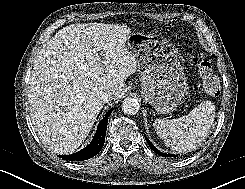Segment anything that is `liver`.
I'll return each mask as SVG.
<instances>
[{
    "mask_svg": "<svg viewBox=\"0 0 245 189\" xmlns=\"http://www.w3.org/2000/svg\"><path fill=\"white\" fill-rule=\"evenodd\" d=\"M130 34L125 24H71L38 53L28 100L34 128L54 153L71 154L83 143L106 103L104 91L112 90L113 100L125 94L124 79L137 65L126 47Z\"/></svg>",
    "mask_w": 245,
    "mask_h": 189,
    "instance_id": "1",
    "label": "liver"
}]
</instances>
